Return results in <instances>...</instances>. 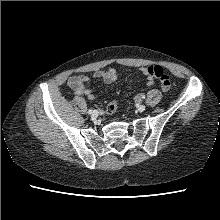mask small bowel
<instances>
[{
    "label": "small bowel",
    "instance_id": "obj_1",
    "mask_svg": "<svg viewBox=\"0 0 220 220\" xmlns=\"http://www.w3.org/2000/svg\"><path fill=\"white\" fill-rule=\"evenodd\" d=\"M141 74L146 79V84L148 86L154 83V77L148 73V67L140 68ZM95 78L102 79L106 83H111L116 81L117 72L115 69H108L106 71H97L94 74ZM89 77L86 75H73L69 77L67 81L68 87L73 90L76 95L85 96L89 100H93L95 98L94 92L91 88L85 86V84L89 81Z\"/></svg>",
    "mask_w": 220,
    "mask_h": 220
}]
</instances>
